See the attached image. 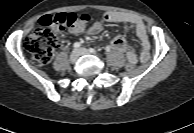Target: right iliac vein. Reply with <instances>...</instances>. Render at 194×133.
<instances>
[{
	"label": "right iliac vein",
	"mask_w": 194,
	"mask_h": 133,
	"mask_svg": "<svg viewBox=\"0 0 194 133\" xmlns=\"http://www.w3.org/2000/svg\"><path fill=\"white\" fill-rule=\"evenodd\" d=\"M78 58H79V52H78V50L72 51V53L70 55V61L72 63H75L78 60Z\"/></svg>",
	"instance_id": "1"
}]
</instances>
